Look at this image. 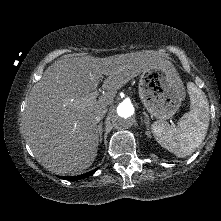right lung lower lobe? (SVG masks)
<instances>
[{
    "label": "right lung lower lobe",
    "instance_id": "right-lung-lower-lobe-1",
    "mask_svg": "<svg viewBox=\"0 0 221 221\" xmlns=\"http://www.w3.org/2000/svg\"><path fill=\"white\" fill-rule=\"evenodd\" d=\"M97 169L98 168H96V169H94V170H92V171H90L86 174H83V175H78V176H74V177H72V176H59V178L60 179H65V180H70V181H75V180L83 179V178H86L88 176L93 175L96 172Z\"/></svg>",
    "mask_w": 221,
    "mask_h": 221
}]
</instances>
